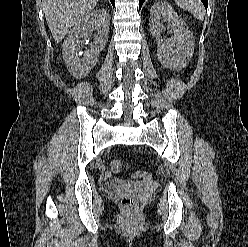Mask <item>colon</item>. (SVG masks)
Instances as JSON below:
<instances>
[{
	"label": "colon",
	"instance_id": "5ec220e1",
	"mask_svg": "<svg viewBox=\"0 0 248 247\" xmlns=\"http://www.w3.org/2000/svg\"><path fill=\"white\" fill-rule=\"evenodd\" d=\"M127 167H128V164L121 160H113L110 163V170L115 173L120 172L126 169ZM135 177L149 178L150 174L144 171H138L135 173ZM121 204L126 210L131 211L137 207L138 202L134 197L126 196L122 199Z\"/></svg>",
	"mask_w": 248,
	"mask_h": 247
}]
</instances>
